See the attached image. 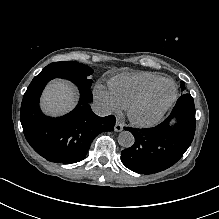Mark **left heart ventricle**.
<instances>
[{"label":"left heart ventricle","mask_w":219,"mask_h":219,"mask_svg":"<svg viewBox=\"0 0 219 219\" xmlns=\"http://www.w3.org/2000/svg\"><path fill=\"white\" fill-rule=\"evenodd\" d=\"M173 94V86L169 82L160 83L152 92L146 103L139 110L144 117L152 116Z\"/></svg>","instance_id":"left-heart-ventricle-1"}]
</instances>
